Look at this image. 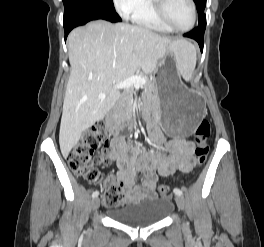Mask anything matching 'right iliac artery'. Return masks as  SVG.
<instances>
[{"label":"right iliac artery","mask_w":264,"mask_h":247,"mask_svg":"<svg viewBox=\"0 0 264 247\" xmlns=\"http://www.w3.org/2000/svg\"><path fill=\"white\" fill-rule=\"evenodd\" d=\"M98 195H99V192H98V191H95V192H93L92 197L95 198V197H97Z\"/></svg>","instance_id":"1"}]
</instances>
